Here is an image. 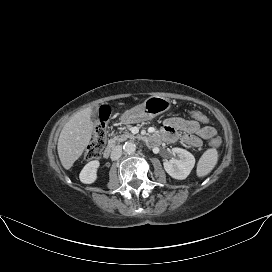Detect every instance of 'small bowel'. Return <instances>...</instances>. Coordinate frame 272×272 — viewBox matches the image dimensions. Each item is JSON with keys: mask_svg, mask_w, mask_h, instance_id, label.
I'll use <instances>...</instances> for the list:
<instances>
[{"mask_svg": "<svg viewBox=\"0 0 272 272\" xmlns=\"http://www.w3.org/2000/svg\"><path fill=\"white\" fill-rule=\"evenodd\" d=\"M215 135L216 130L212 126H202L198 121L182 117H171L164 120L160 132L153 136L156 142L182 141L191 148H199L203 140H212Z\"/></svg>", "mask_w": 272, "mask_h": 272, "instance_id": "obj_1", "label": "small bowel"}]
</instances>
